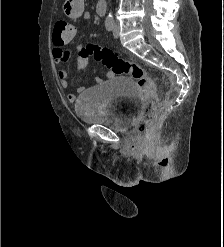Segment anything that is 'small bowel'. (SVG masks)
Returning a JSON list of instances; mask_svg holds the SVG:
<instances>
[{
    "label": "small bowel",
    "mask_w": 224,
    "mask_h": 247,
    "mask_svg": "<svg viewBox=\"0 0 224 247\" xmlns=\"http://www.w3.org/2000/svg\"><path fill=\"white\" fill-rule=\"evenodd\" d=\"M64 12L71 18H83L84 20H90L91 14L89 12L84 11V2L83 0H65L64 3ZM68 42H61L53 39V58L56 63L60 64L66 62L69 58V51L64 49V46ZM83 45H78L77 50L81 49ZM111 74H109L110 76ZM57 76L59 79L60 86L63 89L68 88L69 82L67 79V71L63 68L59 69L57 72ZM67 99L69 102H74L76 100V96L74 94H67Z\"/></svg>",
    "instance_id": "obj_1"
}]
</instances>
